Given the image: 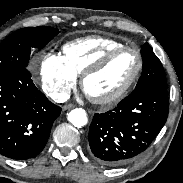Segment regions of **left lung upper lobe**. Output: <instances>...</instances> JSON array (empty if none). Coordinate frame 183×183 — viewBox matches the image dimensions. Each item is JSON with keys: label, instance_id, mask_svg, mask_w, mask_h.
I'll list each match as a JSON object with an SVG mask.
<instances>
[{"label": "left lung upper lobe", "instance_id": "left-lung-upper-lobe-1", "mask_svg": "<svg viewBox=\"0 0 183 183\" xmlns=\"http://www.w3.org/2000/svg\"><path fill=\"white\" fill-rule=\"evenodd\" d=\"M141 55L143 59L142 76L135 90L153 86L167 88V81L162 64L148 43H145L141 47Z\"/></svg>", "mask_w": 183, "mask_h": 183}]
</instances>
